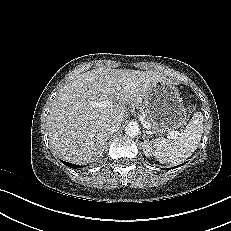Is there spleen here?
<instances>
[{
    "label": "spleen",
    "mask_w": 231,
    "mask_h": 231,
    "mask_svg": "<svg viewBox=\"0 0 231 231\" xmlns=\"http://www.w3.org/2000/svg\"><path fill=\"white\" fill-rule=\"evenodd\" d=\"M202 133L203 115L196 112L181 133L154 141L155 157L160 163L170 165L185 161L197 149Z\"/></svg>",
    "instance_id": "3e777b00"
}]
</instances>
